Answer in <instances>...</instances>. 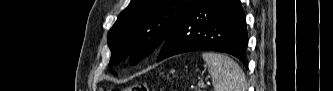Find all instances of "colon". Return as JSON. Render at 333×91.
I'll return each instance as SVG.
<instances>
[{
  "mask_svg": "<svg viewBox=\"0 0 333 91\" xmlns=\"http://www.w3.org/2000/svg\"><path fill=\"white\" fill-rule=\"evenodd\" d=\"M126 91H147V87L143 84H134L125 89Z\"/></svg>",
  "mask_w": 333,
  "mask_h": 91,
  "instance_id": "colon-1",
  "label": "colon"
}]
</instances>
